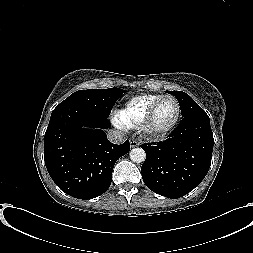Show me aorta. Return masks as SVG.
Segmentation results:
<instances>
[{"instance_id": "aorta-1", "label": "aorta", "mask_w": 253, "mask_h": 253, "mask_svg": "<svg viewBox=\"0 0 253 253\" xmlns=\"http://www.w3.org/2000/svg\"><path fill=\"white\" fill-rule=\"evenodd\" d=\"M130 159L135 163H142L146 159V153L142 148H133L130 151Z\"/></svg>"}]
</instances>
